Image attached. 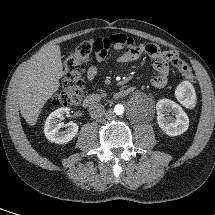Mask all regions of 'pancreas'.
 Segmentation results:
<instances>
[{"label":"pancreas","instance_id":"cf45deb5","mask_svg":"<svg viewBox=\"0 0 215 215\" xmlns=\"http://www.w3.org/2000/svg\"><path fill=\"white\" fill-rule=\"evenodd\" d=\"M101 91V96H105L106 94L105 93H103V91L102 90H100Z\"/></svg>","mask_w":215,"mask_h":215}]
</instances>
